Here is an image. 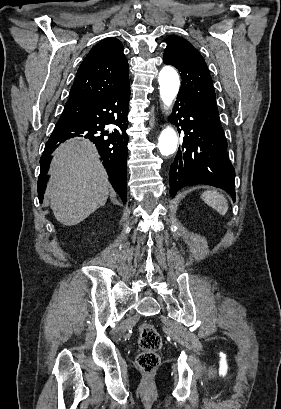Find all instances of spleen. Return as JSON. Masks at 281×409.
<instances>
[{
    "label": "spleen",
    "mask_w": 281,
    "mask_h": 409,
    "mask_svg": "<svg viewBox=\"0 0 281 409\" xmlns=\"http://www.w3.org/2000/svg\"><path fill=\"white\" fill-rule=\"evenodd\" d=\"M201 198L206 202V205L215 209L219 215H226L228 202L224 194H220V192H216V190H205V192H202Z\"/></svg>",
    "instance_id": "1"
}]
</instances>
